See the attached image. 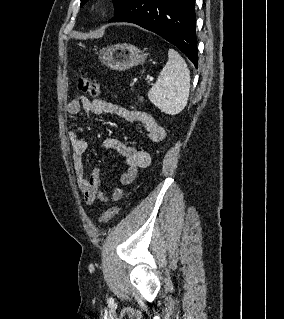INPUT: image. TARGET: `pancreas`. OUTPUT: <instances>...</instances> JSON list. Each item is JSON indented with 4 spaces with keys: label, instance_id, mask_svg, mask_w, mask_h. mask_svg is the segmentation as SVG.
<instances>
[{
    "label": "pancreas",
    "instance_id": "cf45deb5",
    "mask_svg": "<svg viewBox=\"0 0 284 319\" xmlns=\"http://www.w3.org/2000/svg\"><path fill=\"white\" fill-rule=\"evenodd\" d=\"M143 100H144L143 97H140V98H139V101H140V102H143Z\"/></svg>",
    "mask_w": 284,
    "mask_h": 319
}]
</instances>
